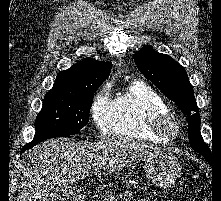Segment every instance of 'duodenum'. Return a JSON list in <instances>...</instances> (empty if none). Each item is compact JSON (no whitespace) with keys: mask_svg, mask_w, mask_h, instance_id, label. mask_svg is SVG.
Wrapping results in <instances>:
<instances>
[{"mask_svg":"<svg viewBox=\"0 0 221 201\" xmlns=\"http://www.w3.org/2000/svg\"><path fill=\"white\" fill-rule=\"evenodd\" d=\"M76 201H85V198L83 196H79L76 198Z\"/></svg>","mask_w":221,"mask_h":201,"instance_id":"obj_1","label":"duodenum"}]
</instances>
